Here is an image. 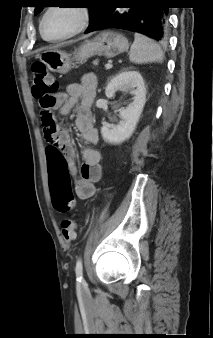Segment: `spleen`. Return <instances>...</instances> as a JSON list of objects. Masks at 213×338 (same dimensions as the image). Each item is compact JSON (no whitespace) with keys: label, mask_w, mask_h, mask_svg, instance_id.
Returning <instances> with one entry per match:
<instances>
[{"label":"spleen","mask_w":213,"mask_h":338,"mask_svg":"<svg viewBox=\"0 0 213 338\" xmlns=\"http://www.w3.org/2000/svg\"><path fill=\"white\" fill-rule=\"evenodd\" d=\"M163 59L164 53L157 43L142 34L135 33L134 42L129 53V60L132 63H162Z\"/></svg>","instance_id":"3e777b00"}]
</instances>
